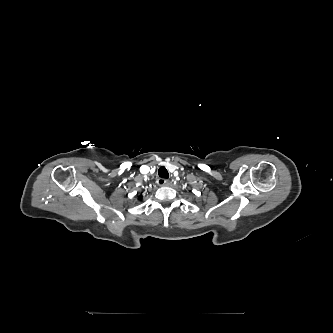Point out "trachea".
<instances>
[{
	"instance_id": "1",
	"label": "trachea",
	"mask_w": 333,
	"mask_h": 333,
	"mask_svg": "<svg viewBox=\"0 0 333 333\" xmlns=\"http://www.w3.org/2000/svg\"><path fill=\"white\" fill-rule=\"evenodd\" d=\"M158 174H159V177H161V178H168L169 177V173H168L167 169L164 166L159 168Z\"/></svg>"
}]
</instances>
